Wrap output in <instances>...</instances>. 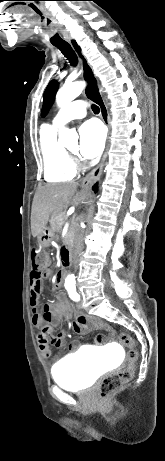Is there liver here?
<instances>
[{
    "instance_id": "1",
    "label": "liver",
    "mask_w": 165,
    "mask_h": 461,
    "mask_svg": "<svg viewBox=\"0 0 165 461\" xmlns=\"http://www.w3.org/2000/svg\"><path fill=\"white\" fill-rule=\"evenodd\" d=\"M77 182L47 184L37 190L31 210V232L38 237L45 229L50 215L67 209L68 206H79L89 196L88 189L77 191Z\"/></svg>"
}]
</instances>
